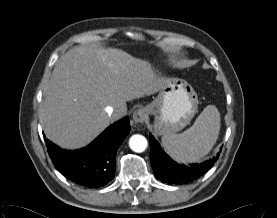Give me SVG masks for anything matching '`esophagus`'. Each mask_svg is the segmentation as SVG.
Segmentation results:
<instances>
[{
  "mask_svg": "<svg viewBox=\"0 0 277 218\" xmlns=\"http://www.w3.org/2000/svg\"><path fill=\"white\" fill-rule=\"evenodd\" d=\"M148 117V110L145 107L137 109L133 113V120L135 123H143Z\"/></svg>",
  "mask_w": 277,
  "mask_h": 218,
  "instance_id": "obj_1",
  "label": "esophagus"
}]
</instances>
